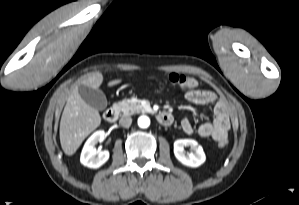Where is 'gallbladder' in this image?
<instances>
[{
    "instance_id": "obj_1",
    "label": "gallbladder",
    "mask_w": 299,
    "mask_h": 205,
    "mask_svg": "<svg viewBox=\"0 0 299 205\" xmlns=\"http://www.w3.org/2000/svg\"><path fill=\"white\" fill-rule=\"evenodd\" d=\"M78 92L82 99L97 110H104L107 107V99L100 89H93L87 85L80 84Z\"/></svg>"
}]
</instances>
